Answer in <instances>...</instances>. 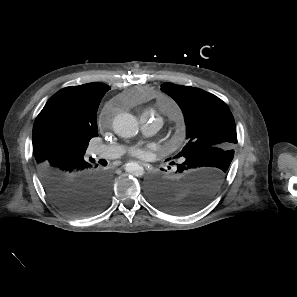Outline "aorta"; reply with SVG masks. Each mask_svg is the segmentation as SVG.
Here are the masks:
<instances>
[{"instance_id": "1", "label": "aorta", "mask_w": 297, "mask_h": 297, "mask_svg": "<svg viewBox=\"0 0 297 297\" xmlns=\"http://www.w3.org/2000/svg\"><path fill=\"white\" fill-rule=\"evenodd\" d=\"M113 129L118 136L130 138L138 133V121L129 113H120L113 120ZM125 170L136 177L144 175V168L137 162L126 163Z\"/></svg>"}]
</instances>
